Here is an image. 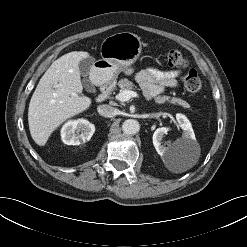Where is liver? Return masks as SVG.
Instances as JSON below:
<instances>
[{
    "mask_svg": "<svg viewBox=\"0 0 247 247\" xmlns=\"http://www.w3.org/2000/svg\"><path fill=\"white\" fill-rule=\"evenodd\" d=\"M88 52L67 53L47 69L29 103L28 124L32 139L44 146L52 132L67 119L87 110L91 99L83 90L79 63Z\"/></svg>",
    "mask_w": 247,
    "mask_h": 247,
    "instance_id": "6515ba94",
    "label": "liver"
}]
</instances>
